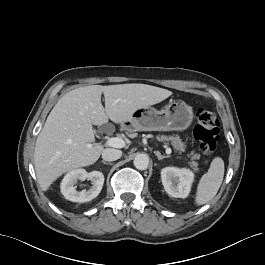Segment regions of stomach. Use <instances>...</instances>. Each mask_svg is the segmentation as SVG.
Listing matches in <instances>:
<instances>
[{
    "instance_id": "stomach-1",
    "label": "stomach",
    "mask_w": 265,
    "mask_h": 265,
    "mask_svg": "<svg viewBox=\"0 0 265 265\" xmlns=\"http://www.w3.org/2000/svg\"><path fill=\"white\" fill-rule=\"evenodd\" d=\"M193 121L192 108L182 101H173L158 111L153 107L137 109L125 124L135 131H184Z\"/></svg>"
}]
</instances>
